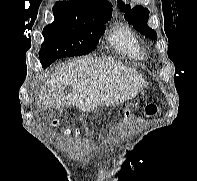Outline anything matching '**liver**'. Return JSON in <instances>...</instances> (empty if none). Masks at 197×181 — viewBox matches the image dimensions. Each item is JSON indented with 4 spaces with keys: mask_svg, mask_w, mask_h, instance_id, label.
Returning a JSON list of instances; mask_svg holds the SVG:
<instances>
[{
    "mask_svg": "<svg viewBox=\"0 0 197 181\" xmlns=\"http://www.w3.org/2000/svg\"><path fill=\"white\" fill-rule=\"evenodd\" d=\"M72 91L64 94V88ZM146 82L134 69L106 57H84L58 65L39 94L38 106L73 105L83 112L113 106L134 98Z\"/></svg>",
    "mask_w": 197,
    "mask_h": 181,
    "instance_id": "liver-1",
    "label": "liver"
}]
</instances>
